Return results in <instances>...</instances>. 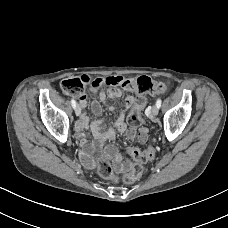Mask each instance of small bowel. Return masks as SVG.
I'll return each instance as SVG.
<instances>
[{
    "label": "small bowel",
    "mask_w": 228,
    "mask_h": 228,
    "mask_svg": "<svg viewBox=\"0 0 228 228\" xmlns=\"http://www.w3.org/2000/svg\"><path fill=\"white\" fill-rule=\"evenodd\" d=\"M87 82H91L89 77H84ZM122 96L121 89L113 86L107 93L102 91L99 93L98 99H94L91 104V108L94 114L99 115L102 111L101 104L105 105L108 109L113 110L115 108V102L118 98ZM78 101L81 108H85L87 105L86 94L78 95ZM136 99L134 96H128L126 103L121 110L120 116L115 121V123L105 128L104 121L102 119H97L91 124L88 122V118L85 114L80 116V119L75 124L76 133L79 137L82 136V131L84 129H90L94 135V142L92 144L88 143L85 139H82L81 146L85 151V154L96 148H104L105 154L112 159L114 167L116 170L121 171L123 169L122 156L118 149L113 145H105L106 141L113 140L117 133H125L128 139L137 138L139 142L143 143L147 139L148 130L147 128H140L136 130L133 127L128 126L124 121L125 115L130 108L135 106Z\"/></svg>",
    "instance_id": "1"
}]
</instances>
